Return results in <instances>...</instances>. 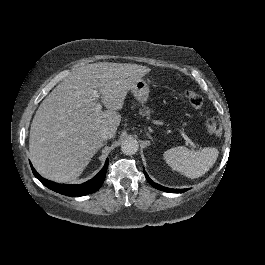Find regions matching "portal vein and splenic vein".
Returning a JSON list of instances; mask_svg holds the SVG:
<instances>
[{"mask_svg":"<svg viewBox=\"0 0 265 265\" xmlns=\"http://www.w3.org/2000/svg\"><path fill=\"white\" fill-rule=\"evenodd\" d=\"M92 96L95 97V98H99V93L97 90H92ZM102 109V105L100 103H97L96 106H95V112H100ZM153 123L154 124H160V125H165L166 124V121L165 120H158V119H154L153 120ZM178 133L181 134V136L185 139L186 141V144H191L193 145V142L190 140V138L187 136V133L186 132H183L182 129H179L178 130ZM193 149L195 150H199V147H196V146H193Z\"/></svg>","mask_w":265,"mask_h":265,"instance_id":"18ae733b","label":"portal vein and splenic vein"}]
</instances>
